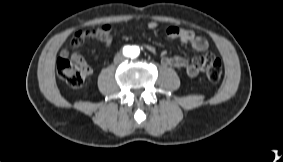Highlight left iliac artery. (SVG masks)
<instances>
[{
	"instance_id": "44dca946",
	"label": "left iliac artery",
	"mask_w": 283,
	"mask_h": 162,
	"mask_svg": "<svg viewBox=\"0 0 283 162\" xmlns=\"http://www.w3.org/2000/svg\"><path fill=\"white\" fill-rule=\"evenodd\" d=\"M139 53V48L133 47V56H137Z\"/></svg>"
}]
</instances>
